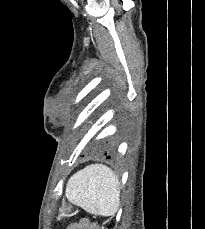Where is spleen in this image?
Here are the masks:
<instances>
[{
    "label": "spleen",
    "mask_w": 205,
    "mask_h": 229,
    "mask_svg": "<svg viewBox=\"0 0 205 229\" xmlns=\"http://www.w3.org/2000/svg\"><path fill=\"white\" fill-rule=\"evenodd\" d=\"M66 197L91 214L112 216L120 204L119 179L103 164L88 165L69 179Z\"/></svg>",
    "instance_id": "spleen-1"
}]
</instances>
